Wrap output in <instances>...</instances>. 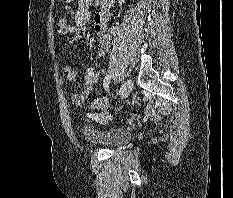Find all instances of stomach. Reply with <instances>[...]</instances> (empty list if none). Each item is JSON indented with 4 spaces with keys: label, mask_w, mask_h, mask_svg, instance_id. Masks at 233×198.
I'll use <instances>...</instances> for the list:
<instances>
[{
    "label": "stomach",
    "mask_w": 233,
    "mask_h": 198,
    "mask_svg": "<svg viewBox=\"0 0 233 198\" xmlns=\"http://www.w3.org/2000/svg\"><path fill=\"white\" fill-rule=\"evenodd\" d=\"M59 1L68 3V2H71L72 0H59Z\"/></svg>",
    "instance_id": "1"
}]
</instances>
